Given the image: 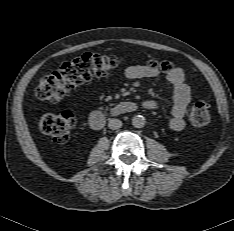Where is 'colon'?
<instances>
[{"instance_id":"5ec220e1","label":"colon","mask_w":234,"mask_h":231,"mask_svg":"<svg viewBox=\"0 0 234 231\" xmlns=\"http://www.w3.org/2000/svg\"><path fill=\"white\" fill-rule=\"evenodd\" d=\"M120 62V59L113 55L84 53L64 62L53 73L43 76L35 89V96L40 100L61 101L73 88L94 77L113 72ZM149 66L161 73L172 70V65L168 61H151ZM189 119L196 128L207 126L211 120L208 105L203 101L196 102ZM76 122L73 112L64 111L58 114H44L39 120V127L55 143L62 144L69 139Z\"/></svg>"}]
</instances>
